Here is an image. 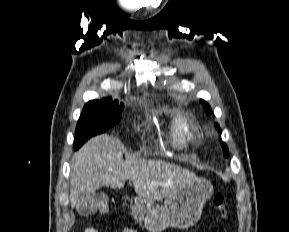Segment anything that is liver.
I'll use <instances>...</instances> for the list:
<instances>
[{"label": "liver", "mask_w": 289, "mask_h": 232, "mask_svg": "<svg viewBox=\"0 0 289 232\" xmlns=\"http://www.w3.org/2000/svg\"><path fill=\"white\" fill-rule=\"evenodd\" d=\"M122 142L107 134L88 140L70 163V202L77 207L80 195L89 196L102 186L122 188L133 183L139 197L159 201L169 197L196 175L187 169L160 160L126 159Z\"/></svg>", "instance_id": "obj_1"}]
</instances>
